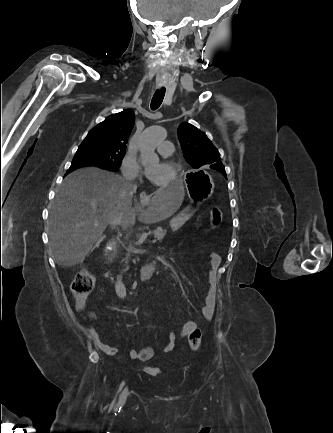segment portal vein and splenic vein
Here are the masks:
<instances>
[{
	"mask_svg": "<svg viewBox=\"0 0 333 433\" xmlns=\"http://www.w3.org/2000/svg\"><path fill=\"white\" fill-rule=\"evenodd\" d=\"M152 242L155 243V242H156V239H154Z\"/></svg>",
	"mask_w": 333,
	"mask_h": 433,
	"instance_id": "18ae733b",
	"label": "portal vein and splenic vein"
}]
</instances>
